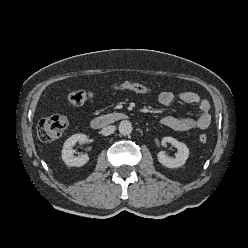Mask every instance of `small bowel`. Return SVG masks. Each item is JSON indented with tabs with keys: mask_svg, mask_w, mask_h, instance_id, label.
<instances>
[{
	"mask_svg": "<svg viewBox=\"0 0 248 248\" xmlns=\"http://www.w3.org/2000/svg\"><path fill=\"white\" fill-rule=\"evenodd\" d=\"M175 100H179L186 104L197 105L200 110V115L193 117H177L164 116L160 119V123L172 130L185 132L195 129L204 130L211 124L210 104L207 99L201 97L195 92L183 91L174 93L172 91H162L158 95V101L162 105H170Z\"/></svg>",
	"mask_w": 248,
	"mask_h": 248,
	"instance_id": "1",
	"label": "small bowel"
}]
</instances>
